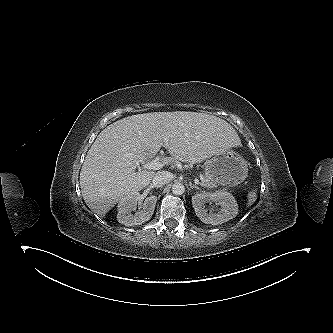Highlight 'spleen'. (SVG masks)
I'll return each instance as SVG.
<instances>
[{
	"instance_id": "spleen-1",
	"label": "spleen",
	"mask_w": 333,
	"mask_h": 333,
	"mask_svg": "<svg viewBox=\"0 0 333 333\" xmlns=\"http://www.w3.org/2000/svg\"><path fill=\"white\" fill-rule=\"evenodd\" d=\"M247 207H250L257 199V190H252L248 193V196H247Z\"/></svg>"
}]
</instances>
